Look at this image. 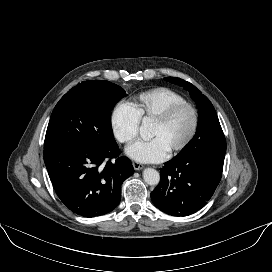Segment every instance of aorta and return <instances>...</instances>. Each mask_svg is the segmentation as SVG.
Returning <instances> with one entry per match:
<instances>
[{"instance_id":"1","label":"aorta","mask_w":272,"mask_h":272,"mask_svg":"<svg viewBox=\"0 0 272 272\" xmlns=\"http://www.w3.org/2000/svg\"><path fill=\"white\" fill-rule=\"evenodd\" d=\"M140 135L143 139L147 140L150 138L149 133V124L146 120L143 121L141 127H140ZM143 178L144 181L151 186L158 185L160 181V175L157 170L153 168H146L143 171Z\"/></svg>"}]
</instances>
